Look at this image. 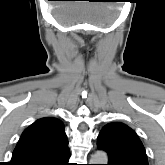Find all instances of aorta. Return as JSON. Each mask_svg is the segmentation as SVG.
Listing matches in <instances>:
<instances>
[{
	"label": "aorta",
	"mask_w": 165,
	"mask_h": 165,
	"mask_svg": "<svg viewBox=\"0 0 165 165\" xmlns=\"http://www.w3.org/2000/svg\"><path fill=\"white\" fill-rule=\"evenodd\" d=\"M108 156L104 151H97L92 155L90 164H107Z\"/></svg>",
	"instance_id": "aorta-1"
}]
</instances>
